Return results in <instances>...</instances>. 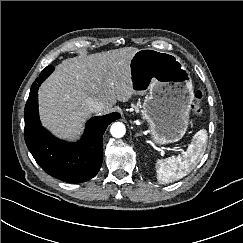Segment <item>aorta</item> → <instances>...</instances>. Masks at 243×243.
<instances>
[{
  "instance_id": "aorta-1",
  "label": "aorta",
  "mask_w": 243,
  "mask_h": 243,
  "mask_svg": "<svg viewBox=\"0 0 243 243\" xmlns=\"http://www.w3.org/2000/svg\"><path fill=\"white\" fill-rule=\"evenodd\" d=\"M111 135L115 138H121L126 133L125 125L121 122H115L111 126Z\"/></svg>"
}]
</instances>
